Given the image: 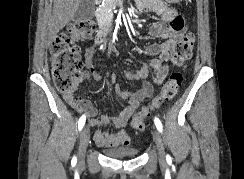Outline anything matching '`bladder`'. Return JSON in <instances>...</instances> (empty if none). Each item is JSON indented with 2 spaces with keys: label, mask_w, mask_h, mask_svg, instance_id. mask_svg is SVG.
Segmentation results:
<instances>
[{
  "label": "bladder",
  "mask_w": 244,
  "mask_h": 179,
  "mask_svg": "<svg viewBox=\"0 0 244 179\" xmlns=\"http://www.w3.org/2000/svg\"><path fill=\"white\" fill-rule=\"evenodd\" d=\"M105 156L117 159L134 158L138 154L137 148L109 149L102 148Z\"/></svg>",
  "instance_id": "31cf9c89"
}]
</instances>
